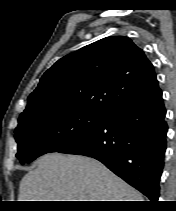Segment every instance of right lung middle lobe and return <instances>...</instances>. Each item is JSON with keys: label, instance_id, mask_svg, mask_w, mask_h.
<instances>
[{"label": "right lung middle lobe", "instance_id": "dd1d6c3e", "mask_svg": "<svg viewBox=\"0 0 176 211\" xmlns=\"http://www.w3.org/2000/svg\"><path fill=\"white\" fill-rule=\"evenodd\" d=\"M108 114L81 109L51 108L19 118L15 129L16 157L21 164L56 152L99 126Z\"/></svg>", "mask_w": 176, "mask_h": 211}]
</instances>
